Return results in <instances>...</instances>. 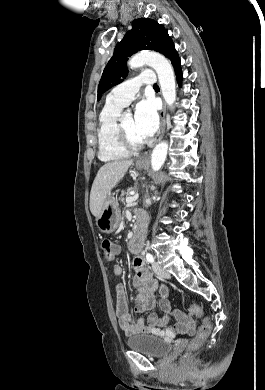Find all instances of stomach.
<instances>
[{
	"instance_id": "stomach-1",
	"label": "stomach",
	"mask_w": 265,
	"mask_h": 390,
	"mask_svg": "<svg viewBox=\"0 0 265 390\" xmlns=\"http://www.w3.org/2000/svg\"><path fill=\"white\" fill-rule=\"evenodd\" d=\"M146 163L136 162V168L141 170ZM121 212L115 198L109 193L99 216L96 217V225L103 233L114 232L120 223Z\"/></svg>"
}]
</instances>
